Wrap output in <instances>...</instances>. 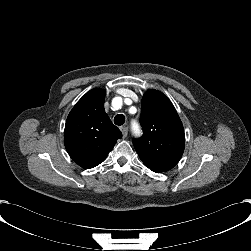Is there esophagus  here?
Returning <instances> with one entry per match:
<instances>
[{
  "mask_svg": "<svg viewBox=\"0 0 251 251\" xmlns=\"http://www.w3.org/2000/svg\"><path fill=\"white\" fill-rule=\"evenodd\" d=\"M120 131L122 132L123 138L127 136L128 128L126 126L120 127Z\"/></svg>",
  "mask_w": 251,
  "mask_h": 251,
  "instance_id": "34e87169",
  "label": "esophagus"
}]
</instances>
